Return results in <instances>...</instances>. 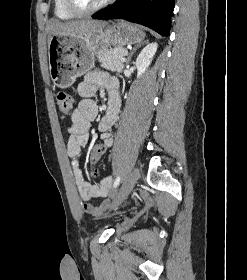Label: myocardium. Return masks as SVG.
<instances>
[{
    "mask_svg": "<svg viewBox=\"0 0 247 280\" xmlns=\"http://www.w3.org/2000/svg\"><path fill=\"white\" fill-rule=\"evenodd\" d=\"M113 1L115 0H104L100 4L91 8H83L79 6L75 0H65V4L67 9L74 15H89L104 9L105 7L110 5Z\"/></svg>",
    "mask_w": 247,
    "mask_h": 280,
    "instance_id": "1",
    "label": "myocardium"
}]
</instances>
